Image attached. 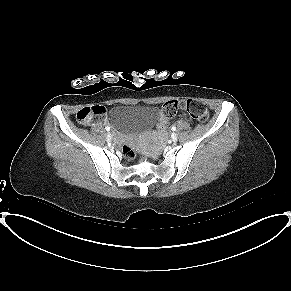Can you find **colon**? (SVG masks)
<instances>
[{"label":"colon","instance_id":"colon-1","mask_svg":"<svg viewBox=\"0 0 291 291\" xmlns=\"http://www.w3.org/2000/svg\"><path fill=\"white\" fill-rule=\"evenodd\" d=\"M179 112H187L192 118L199 122H206L209 117L205 104L199 100H171L163 105L157 128L162 131L165 130L168 122ZM76 118L82 124L102 122L106 119V110L100 105L84 107L77 112ZM122 154L125 159H132L134 156L132 147L129 144H125L122 147Z\"/></svg>","mask_w":291,"mask_h":291}]
</instances>
